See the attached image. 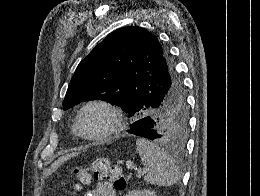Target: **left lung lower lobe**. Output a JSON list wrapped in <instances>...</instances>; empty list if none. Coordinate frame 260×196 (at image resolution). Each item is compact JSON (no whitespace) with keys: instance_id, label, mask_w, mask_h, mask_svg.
Masks as SVG:
<instances>
[{"instance_id":"obj_1","label":"left lung lower lobe","mask_w":260,"mask_h":196,"mask_svg":"<svg viewBox=\"0 0 260 196\" xmlns=\"http://www.w3.org/2000/svg\"><path fill=\"white\" fill-rule=\"evenodd\" d=\"M128 133L145 137L151 140H157L158 134L154 129V121L149 118H143L135 121Z\"/></svg>"}]
</instances>
